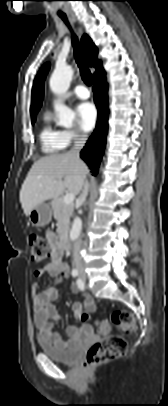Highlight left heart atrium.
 <instances>
[{"instance_id":"1","label":"left heart atrium","mask_w":168,"mask_h":406,"mask_svg":"<svg viewBox=\"0 0 168 406\" xmlns=\"http://www.w3.org/2000/svg\"><path fill=\"white\" fill-rule=\"evenodd\" d=\"M79 125L84 131H91L97 122V110L90 102H83L77 107Z\"/></svg>"}]
</instances>
